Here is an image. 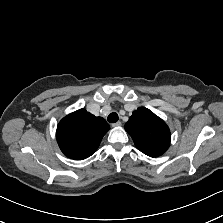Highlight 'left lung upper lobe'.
<instances>
[{"label": "left lung upper lobe", "instance_id": "obj_1", "mask_svg": "<svg viewBox=\"0 0 223 223\" xmlns=\"http://www.w3.org/2000/svg\"><path fill=\"white\" fill-rule=\"evenodd\" d=\"M125 130L132 137L136 147L148 156H160L170 145L168 126L147 108L140 107L134 111L125 124Z\"/></svg>", "mask_w": 223, "mask_h": 223}]
</instances>
